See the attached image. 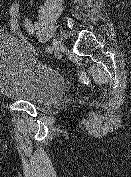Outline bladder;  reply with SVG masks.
I'll return each mask as SVG.
<instances>
[{
    "instance_id": "31cf9c89",
    "label": "bladder",
    "mask_w": 131,
    "mask_h": 177,
    "mask_svg": "<svg viewBox=\"0 0 131 177\" xmlns=\"http://www.w3.org/2000/svg\"><path fill=\"white\" fill-rule=\"evenodd\" d=\"M65 86L63 74L36 59L17 36L0 38V94L45 103L62 94Z\"/></svg>"
}]
</instances>
